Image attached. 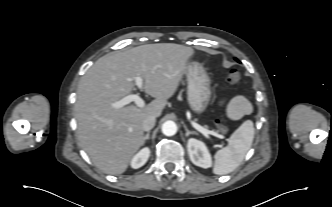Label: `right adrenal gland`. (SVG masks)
<instances>
[{"label":"right adrenal gland","mask_w":332,"mask_h":207,"mask_svg":"<svg viewBox=\"0 0 332 207\" xmlns=\"http://www.w3.org/2000/svg\"><path fill=\"white\" fill-rule=\"evenodd\" d=\"M150 137V131L144 136V142L148 140Z\"/></svg>","instance_id":"obj_1"}]
</instances>
